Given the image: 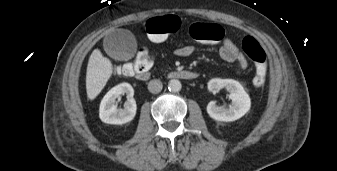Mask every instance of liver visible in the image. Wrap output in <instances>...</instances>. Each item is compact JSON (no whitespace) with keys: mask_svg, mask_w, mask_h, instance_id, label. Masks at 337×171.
Masks as SVG:
<instances>
[{"mask_svg":"<svg viewBox=\"0 0 337 171\" xmlns=\"http://www.w3.org/2000/svg\"><path fill=\"white\" fill-rule=\"evenodd\" d=\"M112 72L111 61L99 49H95L90 55L86 74V91L90 100L95 99L103 90Z\"/></svg>","mask_w":337,"mask_h":171,"instance_id":"liver-1","label":"liver"}]
</instances>
